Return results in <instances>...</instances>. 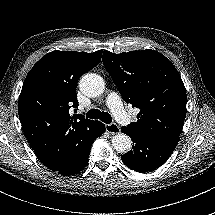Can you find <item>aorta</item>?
I'll use <instances>...</instances> for the list:
<instances>
[{"instance_id": "aorta-1", "label": "aorta", "mask_w": 215, "mask_h": 215, "mask_svg": "<svg viewBox=\"0 0 215 215\" xmlns=\"http://www.w3.org/2000/svg\"><path fill=\"white\" fill-rule=\"evenodd\" d=\"M103 80L95 74H86L80 80V89L88 97H96L103 92ZM113 148L121 154L128 153L132 149V140L125 133H118L113 136Z\"/></svg>"}]
</instances>
